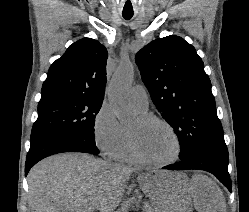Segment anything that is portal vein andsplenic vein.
I'll return each mask as SVG.
<instances>
[{
	"label": "portal vein and splenic vein",
	"mask_w": 249,
	"mask_h": 212,
	"mask_svg": "<svg viewBox=\"0 0 249 212\" xmlns=\"http://www.w3.org/2000/svg\"><path fill=\"white\" fill-rule=\"evenodd\" d=\"M88 210H91V212H93V208H88Z\"/></svg>",
	"instance_id": "portal-vein-and-splenic-vein-1"
}]
</instances>
